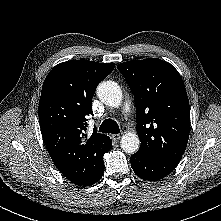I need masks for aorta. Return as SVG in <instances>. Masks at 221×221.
I'll use <instances>...</instances> for the list:
<instances>
[{"instance_id": "obj_1", "label": "aorta", "mask_w": 221, "mask_h": 221, "mask_svg": "<svg viewBox=\"0 0 221 221\" xmlns=\"http://www.w3.org/2000/svg\"><path fill=\"white\" fill-rule=\"evenodd\" d=\"M97 96L105 105L118 107L122 102V90L114 81H103L97 87ZM121 148L124 152L133 154L140 146V140L135 132H127L121 138Z\"/></svg>"}]
</instances>
